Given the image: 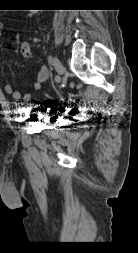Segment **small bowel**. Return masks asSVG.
Listing matches in <instances>:
<instances>
[{
    "mask_svg": "<svg viewBox=\"0 0 138 253\" xmlns=\"http://www.w3.org/2000/svg\"><path fill=\"white\" fill-rule=\"evenodd\" d=\"M21 55L24 59L28 60L31 57V50L28 44H23L21 47ZM1 64V58H0ZM49 71L47 67L41 66L36 74V77L32 83V88L29 92L22 94L20 91L16 90L12 83H6L4 85V90L9 94L15 101L28 102L31 100L34 93L38 92L41 88L43 82L48 79Z\"/></svg>",
    "mask_w": 138,
    "mask_h": 253,
    "instance_id": "c3829d8e",
    "label": "small bowel"
}]
</instances>
